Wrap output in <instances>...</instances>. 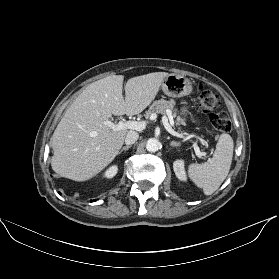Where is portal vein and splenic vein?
<instances>
[{"mask_svg": "<svg viewBox=\"0 0 279 279\" xmlns=\"http://www.w3.org/2000/svg\"><path fill=\"white\" fill-rule=\"evenodd\" d=\"M156 118H157L156 114H152L150 116V120H155ZM103 123L105 125H107L113 131H120V130H125V129H133V130H137V131H142L146 128V125H147V121H139V122H137V121H119V123L114 124L113 122L106 120V121H103ZM162 123H163L165 129L170 134H172L173 136H176V137H181V138L183 137L181 134H179L173 130V128L170 126V124L168 122V118L166 116L162 117ZM193 147H194L197 157L201 158L202 156H204V153L200 151L198 145L195 142L193 143Z\"/></svg>", "mask_w": 279, "mask_h": 279, "instance_id": "18ae733b", "label": "portal vein and splenic vein"}]
</instances>
